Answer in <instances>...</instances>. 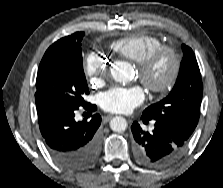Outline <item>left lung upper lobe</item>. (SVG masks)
<instances>
[{"label":"left lung upper lobe","mask_w":223,"mask_h":188,"mask_svg":"<svg viewBox=\"0 0 223 188\" xmlns=\"http://www.w3.org/2000/svg\"><path fill=\"white\" fill-rule=\"evenodd\" d=\"M182 50L184 57L174 88L166 98L146 108L142 117L160 122L188 140L199 120L203 85L192 49L182 45Z\"/></svg>","instance_id":"obj_1"}]
</instances>
